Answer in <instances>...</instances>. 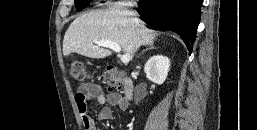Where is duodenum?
I'll list each match as a JSON object with an SVG mask.
<instances>
[{"mask_svg": "<svg viewBox=\"0 0 257 130\" xmlns=\"http://www.w3.org/2000/svg\"><path fill=\"white\" fill-rule=\"evenodd\" d=\"M132 94H133V84H132V81L129 78H127L124 84V95L126 99H130L132 97Z\"/></svg>", "mask_w": 257, "mask_h": 130, "instance_id": "duodenum-1", "label": "duodenum"}]
</instances>
